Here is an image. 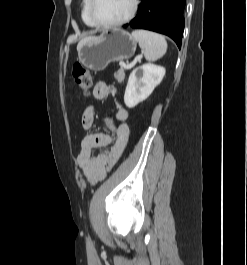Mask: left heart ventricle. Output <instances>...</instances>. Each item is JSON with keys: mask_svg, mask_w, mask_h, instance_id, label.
<instances>
[{"mask_svg": "<svg viewBox=\"0 0 247 265\" xmlns=\"http://www.w3.org/2000/svg\"><path fill=\"white\" fill-rule=\"evenodd\" d=\"M132 0H96L95 15L103 23H112L128 15Z\"/></svg>", "mask_w": 247, "mask_h": 265, "instance_id": "obj_1", "label": "left heart ventricle"}]
</instances>
